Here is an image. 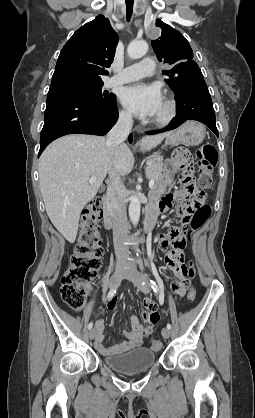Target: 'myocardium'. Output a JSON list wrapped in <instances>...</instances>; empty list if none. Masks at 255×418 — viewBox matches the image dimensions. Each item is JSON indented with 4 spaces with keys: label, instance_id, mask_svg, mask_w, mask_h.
<instances>
[{
    "label": "myocardium",
    "instance_id": "f54148a6",
    "mask_svg": "<svg viewBox=\"0 0 255 418\" xmlns=\"http://www.w3.org/2000/svg\"><path fill=\"white\" fill-rule=\"evenodd\" d=\"M163 104H164L163 112L156 115V117L153 120V123L158 126L168 125L174 119L177 113V104L173 98L171 97L165 98Z\"/></svg>",
    "mask_w": 255,
    "mask_h": 418
}]
</instances>
